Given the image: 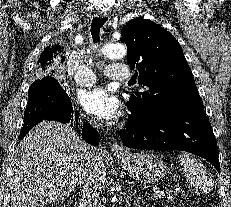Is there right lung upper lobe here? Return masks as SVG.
<instances>
[{
	"label": "right lung upper lobe",
	"mask_w": 231,
	"mask_h": 207,
	"mask_svg": "<svg viewBox=\"0 0 231 207\" xmlns=\"http://www.w3.org/2000/svg\"><path fill=\"white\" fill-rule=\"evenodd\" d=\"M63 51V47L59 44H55L47 47L41 54L40 59L38 61V68L41 72H44L48 69L53 63L59 62L60 60H64L65 57L60 58V53ZM47 76L45 78H49Z\"/></svg>",
	"instance_id": "1"
}]
</instances>
